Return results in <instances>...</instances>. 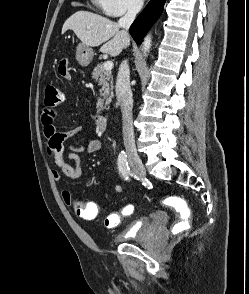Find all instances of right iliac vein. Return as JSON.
Masks as SVG:
<instances>
[{
    "label": "right iliac vein",
    "instance_id": "1",
    "mask_svg": "<svg viewBox=\"0 0 249 294\" xmlns=\"http://www.w3.org/2000/svg\"><path fill=\"white\" fill-rule=\"evenodd\" d=\"M128 158L133 170L140 177H144L146 175V170L138 153L134 149H129Z\"/></svg>",
    "mask_w": 249,
    "mask_h": 294
}]
</instances>
